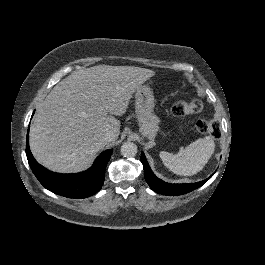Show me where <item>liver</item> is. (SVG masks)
Returning <instances> with one entry per match:
<instances>
[{
    "label": "liver",
    "mask_w": 265,
    "mask_h": 265,
    "mask_svg": "<svg viewBox=\"0 0 265 265\" xmlns=\"http://www.w3.org/2000/svg\"><path fill=\"white\" fill-rule=\"evenodd\" d=\"M155 75L134 66L98 65L73 71L54 86L37 110L30 148L50 170L70 173L87 168L108 142L117 140L120 121L135 90ZM111 114V115H108Z\"/></svg>",
    "instance_id": "6515ba94"
}]
</instances>
